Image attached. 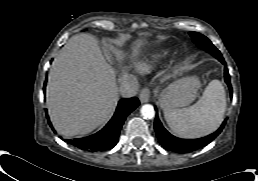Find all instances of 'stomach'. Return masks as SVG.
<instances>
[{"mask_svg": "<svg viewBox=\"0 0 258 181\" xmlns=\"http://www.w3.org/2000/svg\"><path fill=\"white\" fill-rule=\"evenodd\" d=\"M201 85L195 76L176 80L159 93V104L162 109H177L191 104Z\"/></svg>", "mask_w": 258, "mask_h": 181, "instance_id": "stomach-1", "label": "stomach"}]
</instances>
